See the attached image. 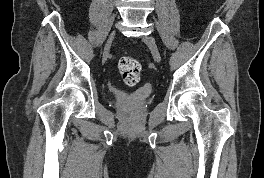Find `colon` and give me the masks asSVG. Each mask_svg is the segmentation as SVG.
<instances>
[{
    "mask_svg": "<svg viewBox=\"0 0 264 178\" xmlns=\"http://www.w3.org/2000/svg\"><path fill=\"white\" fill-rule=\"evenodd\" d=\"M141 64L132 57H123L118 63V73L125 84L134 86L141 75Z\"/></svg>",
    "mask_w": 264,
    "mask_h": 178,
    "instance_id": "5ec220e1",
    "label": "colon"
}]
</instances>
